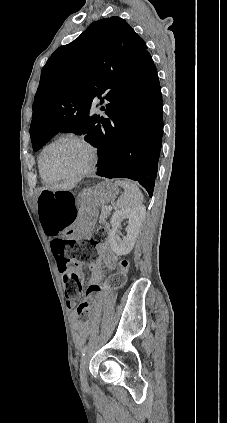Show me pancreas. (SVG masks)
Instances as JSON below:
<instances>
[{"instance_id": "cf45deb5", "label": "pancreas", "mask_w": 227, "mask_h": 423, "mask_svg": "<svg viewBox=\"0 0 227 423\" xmlns=\"http://www.w3.org/2000/svg\"><path fill=\"white\" fill-rule=\"evenodd\" d=\"M107 206H101V215L99 221H103L104 217H108L110 211L106 210Z\"/></svg>"}]
</instances>
